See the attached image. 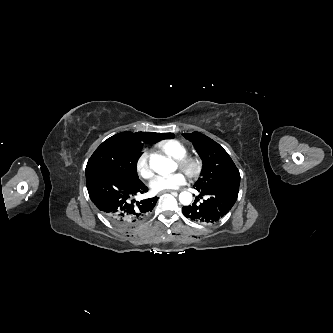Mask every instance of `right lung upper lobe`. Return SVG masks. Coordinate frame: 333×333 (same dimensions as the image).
I'll list each match as a JSON object with an SVG mask.
<instances>
[{"mask_svg":"<svg viewBox=\"0 0 333 333\" xmlns=\"http://www.w3.org/2000/svg\"><path fill=\"white\" fill-rule=\"evenodd\" d=\"M122 136L129 145V149L133 154H141L143 143H156L157 141L163 139L158 138L157 133L151 132H122Z\"/></svg>","mask_w":333,"mask_h":333,"instance_id":"1","label":"right lung upper lobe"}]
</instances>
